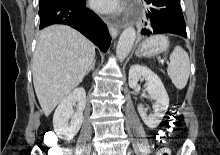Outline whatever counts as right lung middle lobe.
I'll use <instances>...</instances> for the list:
<instances>
[{"label": "right lung middle lobe", "mask_w": 220, "mask_h": 155, "mask_svg": "<svg viewBox=\"0 0 220 155\" xmlns=\"http://www.w3.org/2000/svg\"><path fill=\"white\" fill-rule=\"evenodd\" d=\"M56 1H58V0H40L39 8L40 7H44V6L48 5V4L54 3Z\"/></svg>", "instance_id": "1"}]
</instances>
